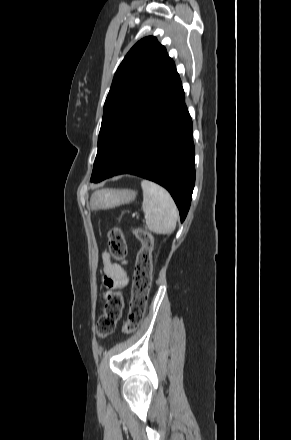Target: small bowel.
<instances>
[{"mask_svg":"<svg viewBox=\"0 0 291 440\" xmlns=\"http://www.w3.org/2000/svg\"><path fill=\"white\" fill-rule=\"evenodd\" d=\"M103 274L116 279L121 285L127 283V279L119 264L112 262L108 252H103Z\"/></svg>","mask_w":291,"mask_h":440,"instance_id":"obj_1","label":"small bowel"}]
</instances>
